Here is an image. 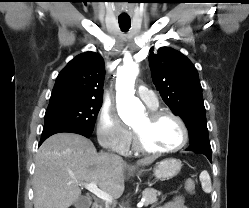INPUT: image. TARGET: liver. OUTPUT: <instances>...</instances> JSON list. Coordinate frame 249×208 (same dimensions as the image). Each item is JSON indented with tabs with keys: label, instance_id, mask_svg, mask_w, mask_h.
I'll return each mask as SVG.
<instances>
[{
	"label": "liver",
	"instance_id": "6515ba94",
	"mask_svg": "<svg viewBox=\"0 0 249 208\" xmlns=\"http://www.w3.org/2000/svg\"><path fill=\"white\" fill-rule=\"evenodd\" d=\"M154 157H146L138 165H149ZM127 163L97 153L93 143L82 135L58 133L49 137L35 158L33 179L34 208H69L81 196L80 182H95L114 198L124 191Z\"/></svg>",
	"mask_w": 249,
	"mask_h": 208
}]
</instances>
